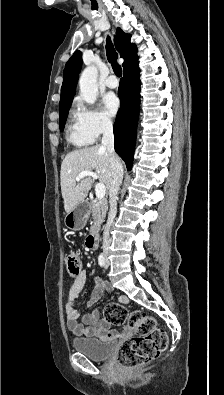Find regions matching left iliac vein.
Listing matches in <instances>:
<instances>
[{
  "mask_svg": "<svg viewBox=\"0 0 224 395\" xmlns=\"http://www.w3.org/2000/svg\"><path fill=\"white\" fill-rule=\"evenodd\" d=\"M108 266H109V260H108V258L106 257L105 267L108 268Z\"/></svg>",
  "mask_w": 224,
  "mask_h": 395,
  "instance_id": "4c4485c4",
  "label": "left iliac vein"
}]
</instances>
